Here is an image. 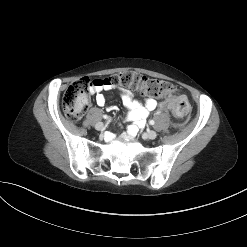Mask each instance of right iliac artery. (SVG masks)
I'll list each match as a JSON object with an SVG mask.
<instances>
[{
  "label": "right iliac artery",
  "instance_id": "1",
  "mask_svg": "<svg viewBox=\"0 0 247 247\" xmlns=\"http://www.w3.org/2000/svg\"><path fill=\"white\" fill-rule=\"evenodd\" d=\"M103 117H104V119H109V117L107 115H104Z\"/></svg>",
  "mask_w": 247,
  "mask_h": 247
}]
</instances>
